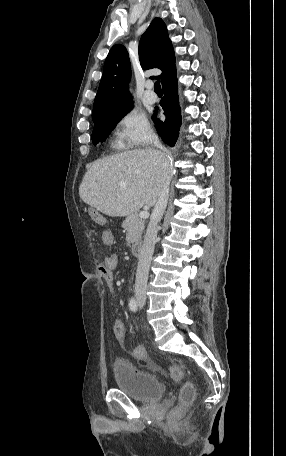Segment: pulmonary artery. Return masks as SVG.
Returning <instances> with one entry per match:
<instances>
[{
	"label": "pulmonary artery",
	"instance_id": "e3ab8cb5",
	"mask_svg": "<svg viewBox=\"0 0 286 456\" xmlns=\"http://www.w3.org/2000/svg\"><path fill=\"white\" fill-rule=\"evenodd\" d=\"M152 86V83L148 82L144 93L145 101L151 104L157 101V95L152 91Z\"/></svg>",
	"mask_w": 286,
	"mask_h": 456
}]
</instances>
